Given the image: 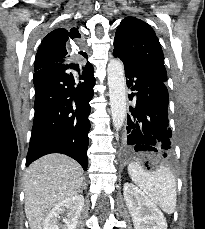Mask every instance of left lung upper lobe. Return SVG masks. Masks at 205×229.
Returning <instances> with one entry per match:
<instances>
[{
    "label": "left lung upper lobe",
    "mask_w": 205,
    "mask_h": 229,
    "mask_svg": "<svg viewBox=\"0 0 205 229\" xmlns=\"http://www.w3.org/2000/svg\"><path fill=\"white\" fill-rule=\"evenodd\" d=\"M114 47L113 53L127 64L166 82L164 55L150 25L136 17H126L116 31Z\"/></svg>",
    "instance_id": "1"
}]
</instances>
